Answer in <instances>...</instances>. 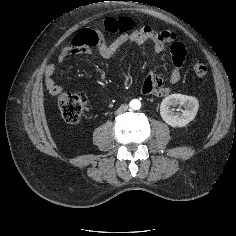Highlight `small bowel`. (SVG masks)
I'll return each instance as SVG.
<instances>
[{"label":"small bowel","mask_w":236,"mask_h":236,"mask_svg":"<svg viewBox=\"0 0 236 236\" xmlns=\"http://www.w3.org/2000/svg\"><path fill=\"white\" fill-rule=\"evenodd\" d=\"M125 20L124 23H121ZM104 30L117 34L111 41L105 40L100 29L85 28L79 31L58 55V62H63L71 55H92L97 52L104 59H110L126 43L137 45L150 42L156 53H162L166 46H170L173 69L168 82L176 84L181 79V72L186 61L187 49L185 44L178 40L172 31H156L150 26L134 28L130 18H107L104 21ZM56 72L54 64H48L44 70V83L48 93L52 96L59 95L63 89L53 78ZM141 92L146 95L165 96L169 87L165 80L155 74H149L141 84Z\"/></svg>","instance_id":"1"}]
</instances>
